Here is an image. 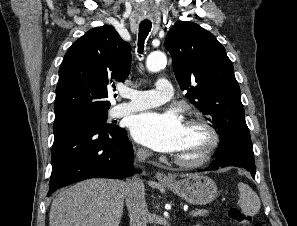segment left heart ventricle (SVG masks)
<instances>
[{
  "mask_svg": "<svg viewBox=\"0 0 297 226\" xmlns=\"http://www.w3.org/2000/svg\"><path fill=\"white\" fill-rule=\"evenodd\" d=\"M207 142V135L202 128L195 125H184L183 141L177 155L185 158L197 156Z\"/></svg>",
  "mask_w": 297,
  "mask_h": 226,
  "instance_id": "1",
  "label": "left heart ventricle"
}]
</instances>
